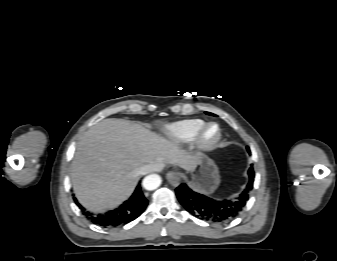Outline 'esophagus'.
I'll return each instance as SVG.
<instances>
[{"instance_id": "esophagus-1", "label": "esophagus", "mask_w": 337, "mask_h": 261, "mask_svg": "<svg viewBox=\"0 0 337 261\" xmlns=\"http://www.w3.org/2000/svg\"><path fill=\"white\" fill-rule=\"evenodd\" d=\"M166 178H167L168 182L174 187H177L180 184V181H181L180 173H178L176 171H169L166 174Z\"/></svg>"}]
</instances>
